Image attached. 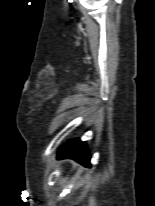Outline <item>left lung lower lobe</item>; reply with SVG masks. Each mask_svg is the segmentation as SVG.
Listing matches in <instances>:
<instances>
[{
    "label": "left lung lower lobe",
    "mask_w": 155,
    "mask_h": 206,
    "mask_svg": "<svg viewBox=\"0 0 155 206\" xmlns=\"http://www.w3.org/2000/svg\"><path fill=\"white\" fill-rule=\"evenodd\" d=\"M58 158H71L85 166H90V156L86 144L79 139L64 144L58 151Z\"/></svg>",
    "instance_id": "0a47b994"
}]
</instances>
